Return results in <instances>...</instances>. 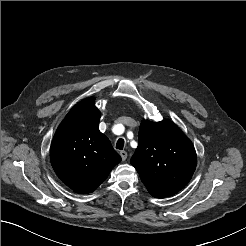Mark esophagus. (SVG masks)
I'll use <instances>...</instances> for the list:
<instances>
[{
  "mask_svg": "<svg viewBox=\"0 0 246 246\" xmlns=\"http://www.w3.org/2000/svg\"><path fill=\"white\" fill-rule=\"evenodd\" d=\"M120 156L122 158L123 161H125L127 159V152L126 151H120Z\"/></svg>",
  "mask_w": 246,
  "mask_h": 246,
  "instance_id": "obj_1",
  "label": "esophagus"
}]
</instances>
